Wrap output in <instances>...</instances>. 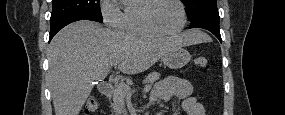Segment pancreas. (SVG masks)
<instances>
[{
    "mask_svg": "<svg viewBox=\"0 0 285 115\" xmlns=\"http://www.w3.org/2000/svg\"><path fill=\"white\" fill-rule=\"evenodd\" d=\"M160 76H161L160 73L152 72L148 74L144 82L148 83V85L151 87L154 82L159 80ZM130 85H132V83H123V82H119L115 85L111 97L113 99L112 107L117 115H120L122 112V109L125 104V97L130 92Z\"/></svg>",
    "mask_w": 285,
    "mask_h": 115,
    "instance_id": "cf45deb5",
    "label": "pancreas"
}]
</instances>
